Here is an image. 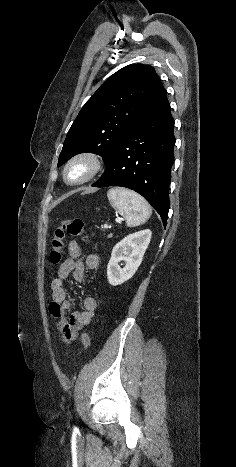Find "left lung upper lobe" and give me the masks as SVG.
<instances>
[{
	"label": "left lung upper lobe",
	"mask_w": 236,
	"mask_h": 467,
	"mask_svg": "<svg viewBox=\"0 0 236 467\" xmlns=\"http://www.w3.org/2000/svg\"><path fill=\"white\" fill-rule=\"evenodd\" d=\"M165 96L153 67L132 64L120 69L79 112L68 131L58 166L83 152L99 154L107 164L124 135Z\"/></svg>",
	"instance_id": "obj_1"
}]
</instances>
